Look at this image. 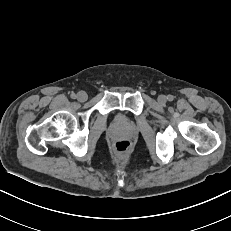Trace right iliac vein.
Listing matches in <instances>:
<instances>
[{
  "label": "right iliac vein",
  "instance_id": "63e3f726",
  "mask_svg": "<svg viewBox=\"0 0 231 231\" xmlns=\"http://www.w3.org/2000/svg\"><path fill=\"white\" fill-rule=\"evenodd\" d=\"M77 100L80 101V102H84L87 100L88 96H87V93L84 92V91H80L77 93V96H76Z\"/></svg>",
  "mask_w": 231,
  "mask_h": 231
}]
</instances>
